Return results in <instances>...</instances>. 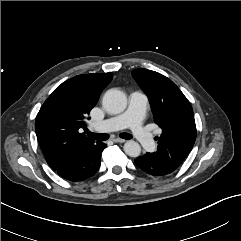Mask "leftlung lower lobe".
<instances>
[{
	"mask_svg": "<svg viewBox=\"0 0 241 241\" xmlns=\"http://www.w3.org/2000/svg\"><path fill=\"white\" fill-rule=\"evenodd\" d=\"M135 164L143 172L153 176H163L172 173L177 167L161 163L151 159L149 154L139 156L135 159Z\"/></svg>",
	"mask_w": 241,
	"mask_h": 241,
	"instance_id": "1",
	"label": "left lung lower lobe"
}]
</instances>
